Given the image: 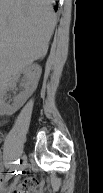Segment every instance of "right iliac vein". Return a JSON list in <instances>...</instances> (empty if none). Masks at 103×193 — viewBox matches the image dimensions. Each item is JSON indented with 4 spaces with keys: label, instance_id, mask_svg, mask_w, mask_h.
Masks as SVG:
<instances>
[{
    "label": "right iliac vein",
    "instance_id": "63e3f726",
    "mask_svg": "<svg viewBox=\"0 0 103 193\" xmlns=\"http://www.w3.org/2000/svg\"><path fill=\"white\" fill-rule=\"evenodd\" d=\"M26 165H27V158L26 156H23L22 157V160L20 162V165L18 166V170L19 172H21L22 170H24L26 168Z\"/></svg>",
    "mask_w": 103,
    "mask_h": 193
}]
</instances>
